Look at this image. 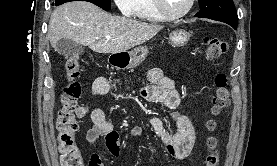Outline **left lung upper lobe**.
Instances as JSON below:
<instances>
[{
  "label": "left lung upper lobe",
  "mask_w": 277,
  "mask_h": 166,
  "mask_svg": "<svg viewBox=\"0 0 277 166\" xmlns=\"http://www.w3.org/2000/svg\"><path fill=\"white\" fill-rule=\"evenodd\" d=\"M200 12L196 17L222 21L237 27V13L233 0H199Z\"/></svg>",
  "instance_id": "1"
}]
</instances>
